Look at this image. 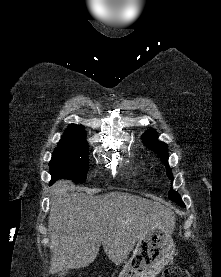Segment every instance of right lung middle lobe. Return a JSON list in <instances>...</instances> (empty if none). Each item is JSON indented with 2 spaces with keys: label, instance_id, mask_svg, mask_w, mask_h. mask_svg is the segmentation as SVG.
Instances as JSON below:
<instances>
[{
  "label": "right lung middle lobe",
  "instance_id": "dd1d6c3e",
  "mask_svg": "<svg viewBox=\"0 0 221 277\" xmlns=\"http://www.w3.org/2000/svg\"><path fill=\"white\" fill-rule=\"evenodd\" d=\"M88 143L85 139H61L49 163L51 184L65 178L83 182L89 169Z\"/></svg>",
  "mask_w": 221,
  "mask_h": 277
}]
</instances>
